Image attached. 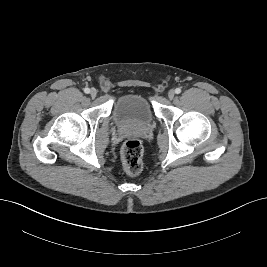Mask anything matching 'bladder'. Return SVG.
Wrapping results in <instances>:
<instances>
[{
	"label": "bladder",
	"mask_w": 267,
	"mask_h": 267,
	"mask_svg": "<svg viewBox=\"0 0 267 267\" xmlns=\"http://www.w3.org/2000/svg\"><path fill=\"white\" fill-rule=\"evenodd\" d=\"M112 117L122 125L146 126L155 115L149 98L138 92L120 95L114 102Z\"/></svg>",
	"instance_id": "bladder-1"
}]
</instances>
